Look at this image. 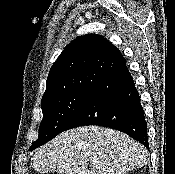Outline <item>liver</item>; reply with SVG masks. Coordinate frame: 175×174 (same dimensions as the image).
Segmentation results:
<instances>
[{
	"instance_id": "1",
	"label": "liver",
	"mask_w": 175,
	"mask_h": 174,
	"mask_svg": "<svg viewBox=\"0 0 175 174\" xmlns=\"http://www.w3.org/2000/svg\"><path fill=\"white\" fill-rule=\"evenodd\" d=\"M147 161L141 143L120 131L91 125L62 132L35 152L31 165L40 174H127Z\"/></svg>"
}]
</instances>
